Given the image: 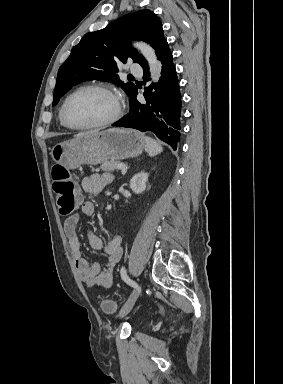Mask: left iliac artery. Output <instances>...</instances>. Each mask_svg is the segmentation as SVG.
<instances>
[{"label": "left iliac artery", "mask_w": 283, "mask_h": 384, "mask_svg": "<svg viewBox=\"0 0 283 384\" xmlns=\"http://www.w3.org/2000/svg\"><path fill=\"white\" fill-rule=\"evenodd\" d=\"M120 274H121L122 279H123L128 285H130L131 287H134V288H137V287H138V285L128 277L125 267H122V268H121Z\"/></svg>", "instance_id": "obj_1"}]
</instances>
